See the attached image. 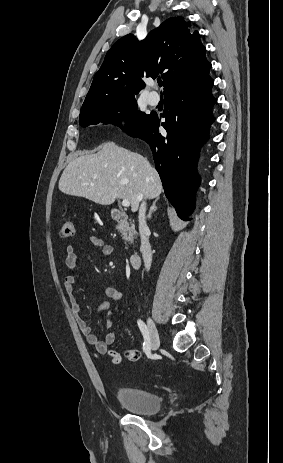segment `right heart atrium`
Wrapping results in <instances>:
<instances>
[{
	"instance_id": "d8ad5b80",
	"label": "right heart atrium",
	"mask_w": 283,
	"mask_h": 463,
	"mask_svg": "<svg viewBox=\"0 0 283 463\" xmlns=\"http://www.w3.org/2000/svg\"><path fill=\"white\" fill-rule=\"evenodd\" d=\"M116 126L118 129H125L127 127V121L124 118L118 119Z\"/></svg>"
}]
</instances>
